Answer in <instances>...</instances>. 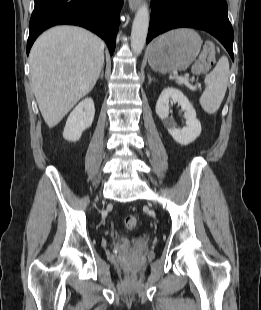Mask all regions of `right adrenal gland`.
Segmentation results:
<instances>
[{
    "label": "right adrenal gland",
    "instance_id": "right-adrenal-gland-1",
    "mask_svg": "<svg viewBox=\"0 0 261 310\" xmlns=\"http://www.w3.org/2000/svg\"><path fill=\"white\" fill-rule=\"evenodd\" d=\"M103 77H104V71H103V67H102L100 78L103 79Z\"/></svg>",
    "mask_w": 261,
    "mask_h": 310
}]
</instances>
